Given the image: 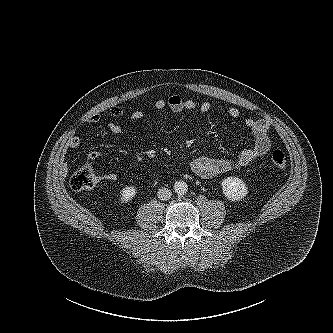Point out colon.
<instances>
[{
    "mask_svg": "<svg viewBox=\"0 0 333 333\" xmlns=\"http://www.w3.org/2000/svg\"><path fill=\"white\" fill-rule=\"evenodd\" d=\"M270 163L279 170H284L287 161L284 153L280 150H274L270 155ZM100 179L93 168L86 164L76 170L69 179V186L75 191L88 190L96 187Z\"/></svg>",
    "mask_w": 333,
    "mask_h": 333,
    "instance_id": "5ec220e1",
    "label": "colon"
}]
</instances>
